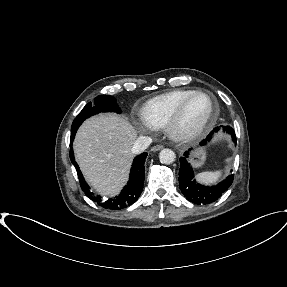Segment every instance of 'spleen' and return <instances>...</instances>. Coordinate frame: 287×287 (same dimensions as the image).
Listing matches in <instances>:
<instances>
[{"mask_svg": "<svg viewBox=\"0 0 287 287\" xmlns=\"http://www.w3.org/2000/svg\"><path fill=\"white\" fill-rule=\"evenodd\" d=\"M222 175V172L220 170L214 171V172H201L197 174V180L204 184H211L215 183Z\"/></svg>", "mask_w": 287, "mask_h": 287, "instance_id": "obj_1", "label": "spleen"}]
</instances>
